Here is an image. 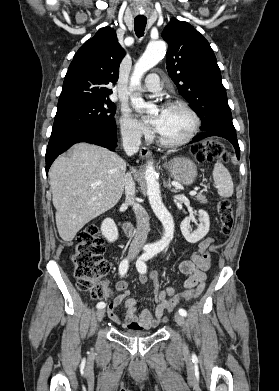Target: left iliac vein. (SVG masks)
<instances>
[{"label":"left iliac vein","mask_w":279,"mask_h":391,"mask_svg":"<svg viewBox=\"0 0 279 391\" xmlns=\"http://www.w3.org/2000/svg\"><path fill=\"white\" fill-rule=\"evenodd\" d=\"M174 319H175L176 323H177L179 326H181L183 329H185L186 321H185V318H184L182 315L176 313V314L174 315Z\"/></svg>","instance_id":"left-iliac-vein-1"}]
</instances>
